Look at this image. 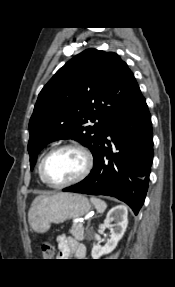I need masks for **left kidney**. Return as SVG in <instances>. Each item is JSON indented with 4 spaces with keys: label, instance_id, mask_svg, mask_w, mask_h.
Returning a JSON list of instances; mask_svg holds the SVG:
<instances>
[{
    "label": "left kidney",
    "instance_id": "5707ae66",
    "mask_svg": "<svg viewBox=\"0 0 175 287\" xmlns=\"http://www.w3.org/2000/svg\"><path fill=\"white\" fill-rule=\"evenodd\" d=\"M128 211L125 206L113 207L106 215L104 226L110 228L111 237L104 246L94 244L91 255L93 259H99L102 255L111 253L123 237L128 225ZM114 222V224H111Z\"/></svg>",
    "mask_w": 175,
    "mask_h": 287
}]
</instances>
